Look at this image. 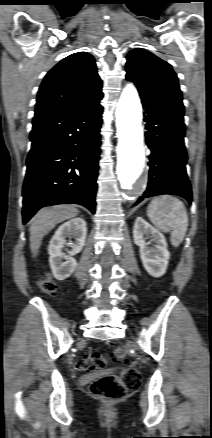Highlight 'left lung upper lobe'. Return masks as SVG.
Returning a JSON list of instances; mask_svg holds the SVG:
<instances>
[{"label": "left lung upper lobe", "mask_w": 212, "mask_h": 438, "mask_svg": "<svg viewBox=\"0 0 212 438\" xmlns=\"http://www.w3.org/2000/svg\"><path fill=\"white\" fill-rule=\"evenodd\" d=\"M126 78L133 81L143 98L184 110L178 78L171 66L143 49L127 55Z\"/></svg>", "instance_id": "5c2ea615"}]
</instances>
